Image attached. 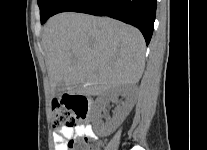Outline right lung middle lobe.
Masks as SVG:
<instances>
[{
	"mask_svg": "<svg viewBox=\"0 0 207 150\" xmlns=\"http://www.w3.org/2000/svg\"><path fill=\"white\" fill-rule=\"evenodd\" d=\"M63 0H38L40 18L43 24L49 17L54 15L56 8Z\"/></svg>",
	"mask_w": 207,
	"mask_h": 150,
	"instance_id": "1",
	"label": "right lung middle lobe"
}]
</instances>
